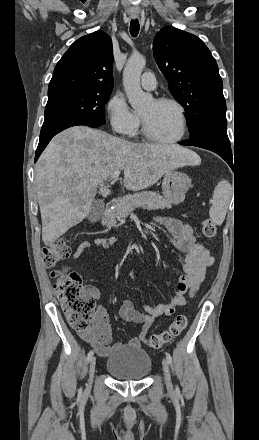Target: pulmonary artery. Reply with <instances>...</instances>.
Wrapping results in <instances>:
<instances>
[{"instance_id": "pulmonary-artery-1", "label": "pulmonary artery", "mask_w": 259, "mask_h": 440, "mask_svg": "<svg viewBox=\"0 0 259 440\" xmlns=\"http://www.w3.org/2000/svg\"><path fill=\"white\" fill-rule=\"evenodd\" d=\"M141 86L145 90H154L156 88V79L152 72H145L141 77Z\"/></svg>"}]
</instances>
